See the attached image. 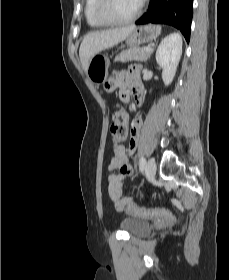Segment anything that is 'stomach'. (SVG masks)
Here are the masks:
<instances>
[{
  "label": "stomach",
  "mask_w": 229,
  "mask_h": 280,
  "mask_svg": "<svg viewBox=\"0 0 229 280\" xmlns=\"http://www.w3.org/2000/svg\"><path fill=\"white\" fill-rule=\"evenodd\" d=\"M161 33V27L157 25H144L136 27L126 38V43L136 47L155 40ZM109 58L106 56H93L87 66L86 73L94 83H103L108 77Z\"/></svg>",
  "instance_id": "obj_1"
}]
</instances>
